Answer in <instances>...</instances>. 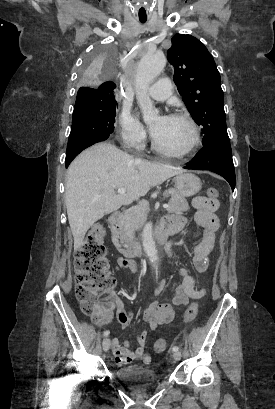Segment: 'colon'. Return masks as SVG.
I'll return each mask as SVG.
<instances>
[{
	"label": "colon",
	"mask_w": 275,
	"mask_h": 409,
	"mask_svg": "<svg viewBox=\"0 0 275 409\" xmlns=\"http://www.w3.org/2000/svg\"><path fill=\"white\" fill-rule=\"evenodd\" d=\"M217 189H209L207 196L216 200ZM105 229L102 223H95L86 234L81 246L76 251L75 294L85 316L98 325L104 324L121 306L120 300L113 294L114 278L109 274V260L105 256ZM198 314V304L192 303L184 314V322H192ZM167 341L154 343L156 352L165 351Z\"/></svg>",
	"instance_id": "colon-1"
}]
</instances>
